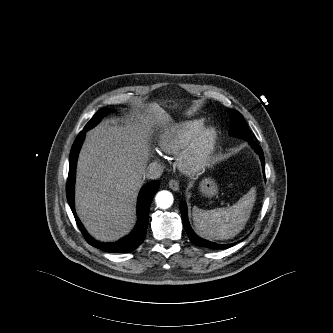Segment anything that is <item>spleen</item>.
I'll return each mask as SVG.
<instances>
[{
	"mask_svg": "<svg viewBox=\"0 0 333 333\" xmlns=\"http://www.w3.org/2000/svg\"><path fill=\"white\" fill-rule=\"evenodd\" d=\"M255 202V188L230 207L203 210L193 207L196 233L209 240H227L244 229Z\"/></svg>",
	"mask_w": 333,
	"mask_h": 333,
	"instance_id": "3e777b00",
	"label": "spleen"
}]
</instances>
